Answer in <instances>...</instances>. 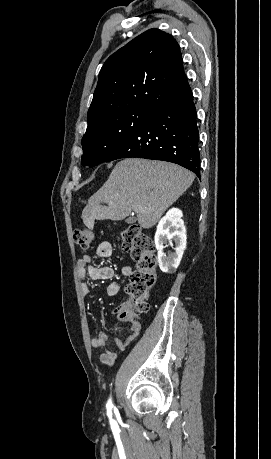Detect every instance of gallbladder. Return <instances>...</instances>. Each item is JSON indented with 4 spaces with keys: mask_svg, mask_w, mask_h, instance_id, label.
Segmentation results:
<instances>
[{
    "mask_svg": "<svg viewBox=\"0 0 271 459\" xmlns=\"http://www.w3.org/2000/svg\"><path fill=\"white\" fill-rule=\"evenodd\" d=\"M134 220H130V224H133Z\"/></svg>",
    "mask_w": 271,
    "mask_h": 459,
    "instance_id": "obj_1",
    "label": "gallbladder"
}]
</instances>
